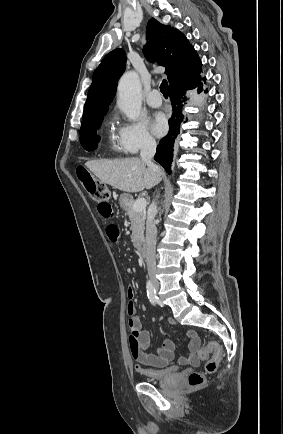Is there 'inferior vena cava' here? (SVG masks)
Segmentation results:
<instances>
[{
  "label": "inferior vena cava",
  "instance_id": "602c4592",
  "mask_svg": "<svg viewBox=\"0 0 283 434\" xmlns=\"http://www.w3.org/2000/svg\"><path fill=\"white\" fill-rule=\"evenodd\" d=\"M155 152H156L155 140L151 137L146 138L140 152V157L149 168H151L155 172H159V167L156 166L152 161ZM156 214H157V206L155 202H153L148 209L147 221H146V263H147L148 275L154 283H157V279H156L157 228L154 223Z\"/></svg>",
  "mask_w": 283,
  "mask_h": 434
}]
</instances>
